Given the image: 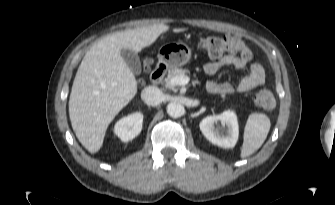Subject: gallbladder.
I'll return each mask as SVG.
<instances>
[{
	"label": "gallbladder",
	"instance_id": "1",
	"mask_svg": "<svg viewBox=\"0 0 335 205\" xmlns=\"http://www.w3.org/2000/svg\"><path fill=\"white\" fill-rule=\"evenodd\" d=\"M121 56L134 74L141 73V62L138 54L131 49H121Z\"/></svg>",
	"mask_w": 335,
	"mask_h": 205
}]
</instances>
